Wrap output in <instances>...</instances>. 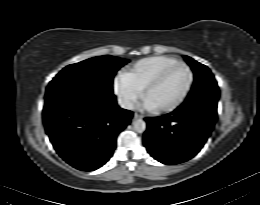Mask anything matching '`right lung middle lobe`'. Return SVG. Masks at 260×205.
Returning a JSON list of instances; mask_svg holds the SVG:
<instances>
[{"label":"right lung middle lobe","instance_id":"1","mask_svg":"<svg viewBox=\"0 0 260 205\" xmlns=\"http://www.w3.org/2000/svg\"><path fill=\"white\" fill-rule=\"evenodd\" d=\"M127 62L129 60L109 55L90 58L65 67L50 83L61 81L87 83L113 93V77Z\"/></svg>","mask_w":260,"mask_h":205}]
</instances>
